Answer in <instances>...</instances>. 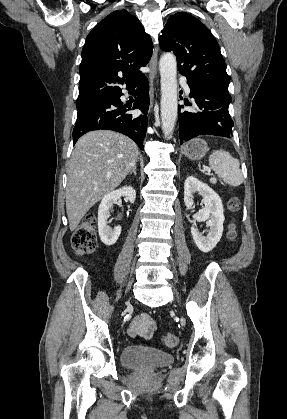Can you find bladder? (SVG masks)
<instances>
[{
  "instance_id": "31cf9c89",
  "label": "bladder",
  "mask_w": 287,
  "mask_h": 419,
  "mask_svg": "<svg viewBox=\"0 0 287 419\" xmlns=\"http://www.w3.org/2000/svg\"><path fill=\"white\" fill-rule=\"evenodd\" d=\"M173 360L171 354L139 345L125 347L121 355L123 365L136 370L160 368L171 364Z\"/></svg>"
}]
</instances>
